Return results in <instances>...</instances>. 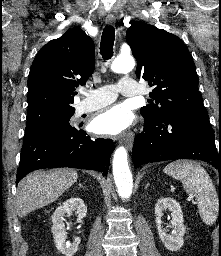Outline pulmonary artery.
Instances as JSON below:
<instances>
[{
	"label": "pulmonary artery",
	"mask_w": 221,
	"mask_h": 256,
	"mask_svg": "<svg viewBox=\"0 0 221 256\" xmlns=\"http://www.w3.org/2000/svg\"><path fill=\"white\" fill-rule=\"evenodd\" d=\"M118 93L123 96H137L140 87L132 78H121L117 85H105L85 93V98L77 105L76 114L88 113L114 102Z\"/></svg>",
	"instance_id": "pulmonary-artery-1"
}]
</instances>
